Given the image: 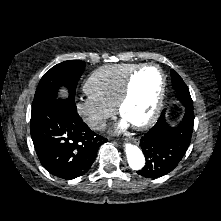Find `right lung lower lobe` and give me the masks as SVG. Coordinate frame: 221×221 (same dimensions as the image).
I'll use <instances>...</instances> for the list:
<instances>
[{
	"label": "right lung lower lobe",
	"mask_w": 221,
	"mask_h": 221,
	"mask_svg": "<svg viewBox=\"0 0 221 221\" xmlns=\"http://www.w3.org/2000/svg\"><path fill=\"white\" fill-rule=\"evenodd\" d=\"M31 137L42 166L63 179L84 175L107 141L77 113L75 99L48 101L31 113Z\"/></svg>",
	"instance_id": "obj_1"
}]
</instances>
